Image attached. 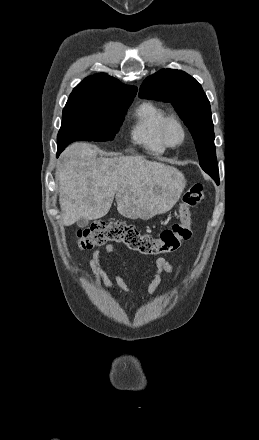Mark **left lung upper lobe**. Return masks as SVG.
Listing matches in <instances>:
<instances>
[{
	"instance_id": "5c2ea615",
	"label": "left lung upper lobe",
	"mask_w": 259,
	"mask_h": 440,
	"mask_svg": "<svg viewBox=\"0 0 259 440\" xmlns=\"http://www.w3.org/2000/svg\"><path fill=\"white\" fill-rule=\"evenodd\" d=\"M139 97L172 104L192 134L200 166L218 182L211 108L201 85L181 70L163 69L145 79Z\"/></svg>"
}]
</instances>
